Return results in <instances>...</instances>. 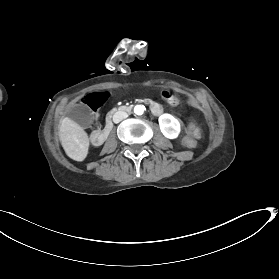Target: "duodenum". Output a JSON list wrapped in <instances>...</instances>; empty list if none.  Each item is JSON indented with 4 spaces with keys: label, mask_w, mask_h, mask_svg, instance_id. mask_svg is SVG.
Here are the masks:
<instances>
[{
    "label": "duodenum",
    "mask_w": 279,
    "mask_h": 279,
    "mask_svg": "<svg viewBox=\"0 0 279 279\" xmlns=\"http://www.w3.org/2000/svg\"><path fill=\"white\" fill-rule=\"evenodd\" d=\"M143 102L147 104L153 112H159L161 110V105L158 102H154L152 99H149L148 97H145L143 99ZM118 107H115L114 111H112V114H108L106 116V123L107 126L101 131L98 128H95L91 132V142L95 145L101 146L103 144V140L106 138L108 133L112 131L114 128V116L115 112H117ZM119 110L121 112H131L133 110V107L131 105H121L119 107Z\"/></svg>",
    "instance_id": "obj_1"
}]
</instances>
